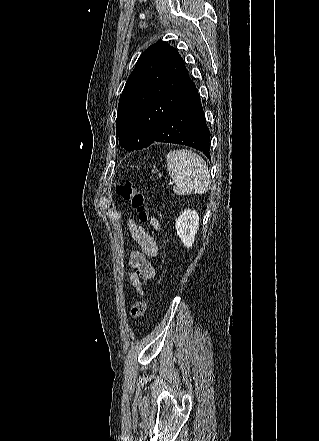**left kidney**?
Returning a JSON list of instances; mask_svg holds the SVG:
<instances>
[{"instance_id": "5707ae66", "label": "left kidney", "mask_w": 319, "mask_h": 441, "mask_svg": "<svg viewBox=\"0 0 319 441\" xmlns=\"http://www.w3.org/2000/svg\"><path fill=\"white\" fill-rule=\"evenodd\" d=\"M199 220L198 213L189 208L182 211L176 220L177 235L187 248L192 247L194 243L195 235L199 228Z\"/></svg>"}]
</instances>
